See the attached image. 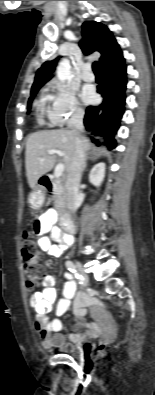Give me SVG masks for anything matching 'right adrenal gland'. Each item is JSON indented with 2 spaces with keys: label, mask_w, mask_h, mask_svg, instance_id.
Here are the masks:
<instances>
[{
  "label": "right adrenal gland",
  "mask_w": 155,
  "mask_h": 395,
  "mask_svg": "<svg viewBox=\"0 0 155 395\" xmlns=\"http://www.w3.org/2000/svg\"><path fill=\"white\" fill-rule=\"evenodd\" d=\"M86 160H87V158H85V160H84V164H83V168H82V172L85 170V168H86Z\"/></svg>",
  "instance_id": "2a0ac1e0"
}]
</instances>
